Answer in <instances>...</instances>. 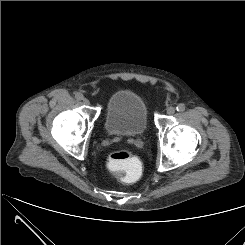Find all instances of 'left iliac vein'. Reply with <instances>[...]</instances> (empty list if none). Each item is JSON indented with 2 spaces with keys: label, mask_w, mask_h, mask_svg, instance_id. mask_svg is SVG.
Wrapping results in <instances>:
<instances>
[{
  "label": "left iliac vein",
  "mask_w": 245,
  "mask_h": 245,
  "mask_svg": "<svg viewBox=\"0 0 245 245\" xmlns=\"http://www.w3.org/2000/svg\"><path fill=\"white\" fill-rule=\"evenodd\" d=\"M176 109L174 107H168L167 108V114L173 115L175 113Z\"/></svg>",
  "instance_id": "1"
}]
</instances>
